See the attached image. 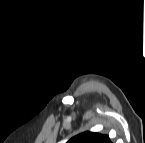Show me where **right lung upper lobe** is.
Listing matches in <instances>:
<instances>
[{
  "label": "right lung upper lobe",
  "mask_w": 145,
  "mask_h": 143,
  "mask_svg": "<svg viewBox=\"0 0 145 143\" xmlns=\"http://www.w3.org/2000/svg\"><path fill=\"white\" fill-rule=\"evenodd\" d=\"M68 143H110L108 136L94 132H85L73 137Z\"/></svg>",
  "instance_id": "obj_1"
}]
</instances>
